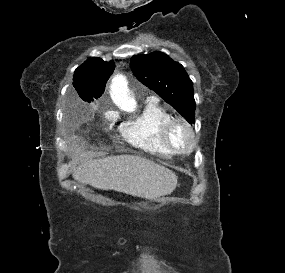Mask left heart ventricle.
Masks as SVG:
<instances>
[{
	"mask_svg": "<svg viewBox=\"0 0 285 273\" xmlns=\"http://www.w3.org/2000/svg\"><path fill=\"white\" fill-rule=\"evenodd\" d=\"M172 139L178 146H185L188 141L189 137L187 135L186 130L182 126H177L172 133Z\"/></svg>",
	"mask_w": 285,
	"mask_h": 273,
	"instance_id": "obj_1",
	"label": "left heart ventricle"
}]
</instances>
